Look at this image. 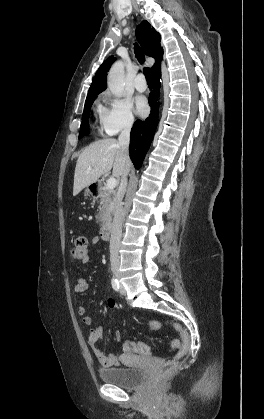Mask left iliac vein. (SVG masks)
<instances>
[{"mask_svg":"<svg viewBox=\"0 0 264 419\" xmlns=\"http://www.w3.org/2000/svg\"><path fill=\"white\" fill-rule=\"evenodd\" d=\"M120 292H121V294H125V290L122 286H121Z\"/></svg>","mask_w":264,"mask_h":419,"instance_id":"obj_1","label":"left iliac vein"}]
</instances>
